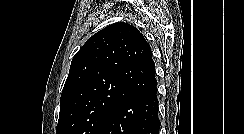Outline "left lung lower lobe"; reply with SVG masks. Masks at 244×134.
Returning <instances> with one entry per match:
<instances>
[{"mask_svg":"<svg viewBox=\"0 0 244 134\" xmlns=\"http://www.w3.org/2000/svg\"><path fill=\"white\" fill-rule=\"evenodd\" d=\"M157 89L131 97L119 105L99 134H159Z\"/></svg>","mask_w":244,"mask_h":134,"instance_id":"obj_1","label":"left lung lower lobe"}]
</instances>
